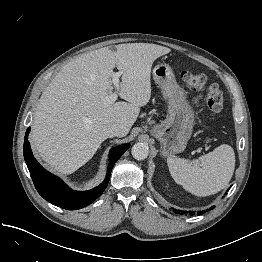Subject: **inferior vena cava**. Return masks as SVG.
<instances>
[{
	"mask_svg": "<svg viewBox=\"0 0 262 262\" xmlns=\"http://www.w3.org/2000/svg\"><path fill=\"white\" fill-rule=\"evenodd\" d=\"M104 133L108 137L119 136L120 128L116 124H109L104 127Z\"/></svg>",
	"mask_w": 262,
	"mask_h": 262,
	"instance_id": "obj_1",
	"label": "inferior vena cava"
}]
</instances>
